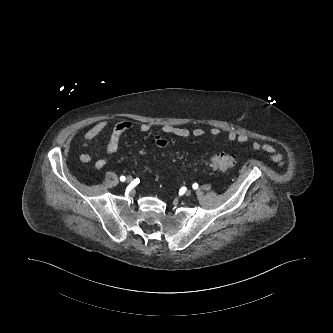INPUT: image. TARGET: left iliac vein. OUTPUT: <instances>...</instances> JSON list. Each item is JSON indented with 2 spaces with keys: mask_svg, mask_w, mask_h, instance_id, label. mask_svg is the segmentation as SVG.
Here are the masks:
<instances>
[{
  "mask_svg": "<svg viewBox=\"0 0 333 333\" xmlns=\"http://www.w3.org/2000/svg\"><path fill=\"white\" fill-rule=\"evenodd\" d=\"M191 193H192L191 190H186V191H185V195H186V196H190Z\"/></svg>",
  "mask_w": 333,
  "mask_h": 333,
  "instance_id": "1",
  "label": "left iliac vein"
}]
</instances>
